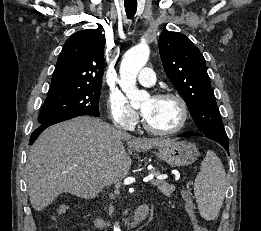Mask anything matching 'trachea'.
<instances>
[{"instance_id": "1", "label": "trachea", "mask_w": 261, "mask_h": 231, "mask_svg": "<svg viewBox=\"0 0 261 231\" xmlns=\"http://www.w3.org/2000/svg\"><path fill=\"white\" fill-rule=\"evenodd\" d=\"M125 11L128 18H133L137 10V1L125 0Z\"/></svg>"}]
</instances>
